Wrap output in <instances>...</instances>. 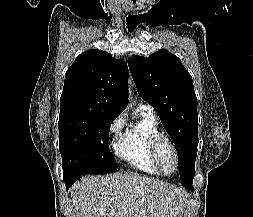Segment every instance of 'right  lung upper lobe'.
<instances>
[{
    "label": "right lung upper lobe",
    "mask_w": 253,
    "mask_h": 217,
    "mask_svg": "<svg viewBox=\"0 0 253 217\" xmlns=\"http://www.w3.org/2000/svg\"><path fill=\"white\" fill-rule=\"evenodd\" d=\"M128 67L101 50L80 54L65 74L60 110L78 108L119 115L127 106Z\"/></svg>",
    "instance_id": "right-lung-upper-lobe-1"
}]
</instances>
